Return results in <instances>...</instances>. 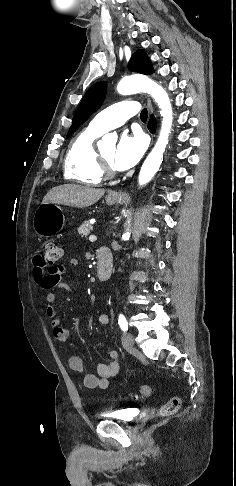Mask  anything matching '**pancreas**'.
Instances as JSON below:
<instances>
[{"label":"pancreas","instance_id":"obj_1","mask_svg":"<svg viewBox=\"0 0 236 486\" xmlns=\"http://www.w3.org/2000/svg\"><path fill=\"white\" fill-rule=\"evenodd\" d=\"M92 230L93 226L86 221L78 228V233L83 237H87Z\"/></svg>","mask_w":236,"mask_h":486}]
</instances>
